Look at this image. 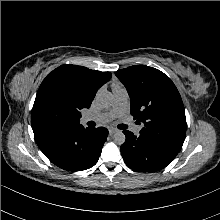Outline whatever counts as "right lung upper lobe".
Wrapping results in <instances>:
<instances>
[{"label": "right lung upper lobe", "instance_id": "cb5924a9", "mask_svg": "<svg viewBox=\"0 0 220 220\" xmlns=\"http://www.w3.org/2000/svg\"><path fill=\"white\" fill-rule=\"evenodd\" d=\"M111 78L110 72L62 65L43 80L32 109L34 135L80 125V110L89 108L95 94Z\"/></svg>", "mask_w": 220, "mask_h": 220}]
</instances>
